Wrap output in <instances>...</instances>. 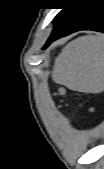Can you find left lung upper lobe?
<instances>
[{
	"label": "left lung upper lobe",
	"mask_w": 104,
	"mask_h": 169,
	"mask_svg": "<svg viewBox=\"0 0 104 169\" xmlns=\"http://www.w3.org/2000/svg\"><path fill=\"white\" fill-rule=\"evenodd\" d=\"M73 6H74V3H70V4H69V7H64V8L62 9V11L57 14V16L55 17V20H54V22H55L54 29H55L56 27H58L59 24L64 20V18H65V17L67 16V14L71 11V9L73 8Z\"/></svg>",
	"instance_id": "obj_1"
}]
</instances>
